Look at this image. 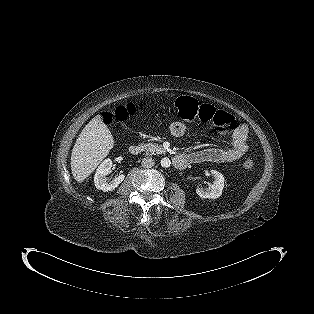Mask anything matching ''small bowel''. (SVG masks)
I'll list each match as a JSON object with an SVG mask.
<instances>
[{
	"instance_id": "obj_1",
	"label": "small bowel",
	"mask_w": 314,
	"mask_h": 314,
	"mask_svg": "<svg viewBox=\"0 0 314 314\" xmlns=\"http://www.w3.org/2000/svg\"><path fill=\"white\" fill-rule=\"evenodd\" d=\"M171 136L180 137L186 132L183 122L175 121L168 126ZM248 150V134L245 125H240L234 131L230 145L227 148H207L185 154L190 163H233L241 158Z\"/></svg>"
}]
</instances>
